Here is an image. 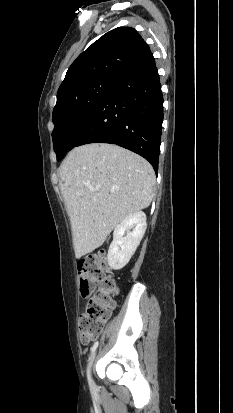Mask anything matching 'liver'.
Segmentation results:
<instances>
[{
	"label": "liver",
	"instance_id": "liver-1",
	"mask_svg": "<svg viewBox=\"0 0 233 413\" xmlns=\"http://www.w3.org/2000/svg\"><path fill=\"white\" fill-rule=\"evenodd\" d=\"M59 169L76 258L100 247L125 218L147 208L154 195L150 163L120 146H79Z\"/></svg>",
	"mask_w": 233,
	"mask_h": 413
}]
</instances>
